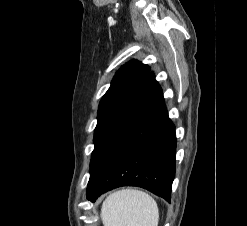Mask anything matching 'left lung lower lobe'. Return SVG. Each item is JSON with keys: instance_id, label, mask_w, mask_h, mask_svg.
Instances as JSON below:
<instances>
[{"instance_id": "0a47b994", "label": "left lung lower lobe", "mask_w": 247, "mask_h": 226, "mask_svg": "<svg viewBox=\"0 0 247 226\" xmlns=\"http://www.w3.org/2000/svg\"><path fill=\"white\" fill-rule=\"evenodd\" d=\"M175 127L162 90L149 72L95 140L87 199L120 186H139L170 201Z\"/></svg>"}]
</instances>
